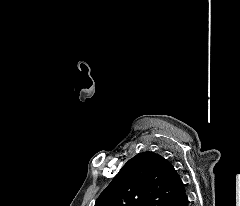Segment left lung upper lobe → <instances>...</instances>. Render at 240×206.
Listing matches in <instances>:
<instances>
[{
	"label": "left lung upper lobe",
	"mask_w": 240,
	"mask_h": 206,
	"mask_svg": "<svg viewBox=\"0 0 240 206\" xmlns=\"http://www.w3.org/2000/svg\"><path fill=\"white\" fill-rule=\"evenodd\" d=\"M180 183L167 159L154 152L139 153L122 167L95 206H167Z\"/></svg>",
	"instance_id": "5c2ea615"
}]
</instances>
